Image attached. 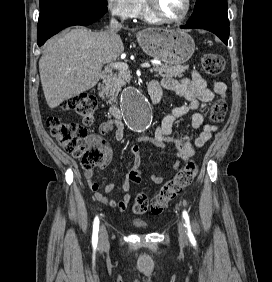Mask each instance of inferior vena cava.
Returning <instances> with one entry per match:
<instances>
[{
  "label": "inferior vena cava",
  "mask_w": 272,
  "mask_h": 282,
  "mask_svg": "<svg viewBox=\"0 0 272 282\" xmlns=\"http://www.w3.org/2000/svg\"><path fill=\"white\" fill-rule=\"evenodd\" d=\"M121 27H122L121 24L115 18L112 17L108 28L109 32L111 34L117 32L121 29Z\"/></svg>",
  "instance_id": "obj_1"
}]
</instances>
